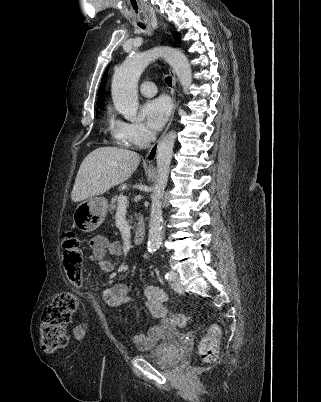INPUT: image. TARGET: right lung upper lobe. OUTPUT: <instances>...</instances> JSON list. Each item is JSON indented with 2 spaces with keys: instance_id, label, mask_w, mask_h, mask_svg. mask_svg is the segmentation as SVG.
I'll use <instances>...</instances> for the list:
<instances>
[{
  "instance_id": "cb5924a9",
  "label": "right lung upper lobe",
  "mask_w": 321,
  "mask_h": 402,
  "mask_svg": "<svg viewBox=\"0 0 321 402\" xmlns=\"http://www.w3.org/2000/svg\"><path fill=\"white\" fill-rule=\"evenodd\" d=\"M106 79H107V71L105 72V74L103 75L101 84H100V88H99V92H98V99H97V106L98 107H104V102H105V85H106Z\"/></svg>"
}]
</instances>
